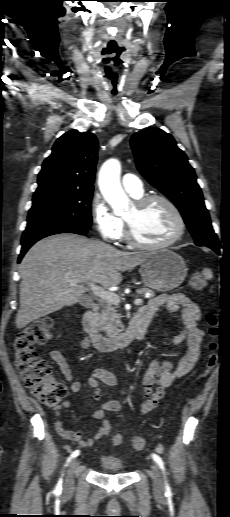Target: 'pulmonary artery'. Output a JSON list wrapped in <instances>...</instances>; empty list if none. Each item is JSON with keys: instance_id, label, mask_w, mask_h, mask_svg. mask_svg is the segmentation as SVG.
I'll list each match as a JSON object with an SVG mask.
<instances>
[{"instance_id": "obj_1", "label": "pulmonary artery", "mask_w": 230, "mask_h": 517, "mask_svg": "<svg viewBox=\"0 0 230 517\" xmlns=\"http://www.w3.org/2000/svg\"><path fill=\"white\" fill-rule=\"evenodd\" d=\"M122 186L126 192L133 197H140L143 194V184L140 178L133 174H125L122 177Z\"/></svg>"}]
</instances>
